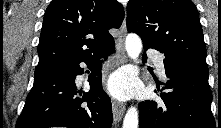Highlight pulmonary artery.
Instances as JSON below:
<instances>
[{"label": "pulmonary artery", "mask_w": 221, "mask_h": 128, "mask_svg": "<svg viewBox=\"0 0 221 128\" xmlns=\"http://www.w3.org/2000/svg\"><path fill=\"white\" fill-rule=\"evenodd\" d=\"M149 56L152 59V61L155 63L156 69L159 72V74L165 78V65L163 61L162 55H160L157 52L150 51Z\"/></svg>", "instance_id": "obj_1"}]
</instances>
